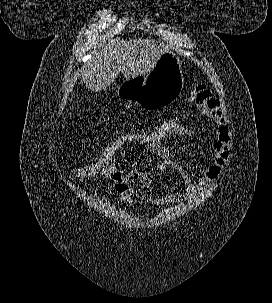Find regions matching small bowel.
Instances as JSON below:
<instances>
[{
    "mask_svg": "<svg viewBox=\"0 0 272 303\" xmlns=\"http://www.w3.org/2000/svg\"><path fill=\"white\" fill-rule=\"evenodd\" d=\"M190 101L197 107L199 112L212 124L213 139L211 141L212 153L209 165L200 171L196 181L182 166L173 162L169 148L164 144L143 146L141 149L155 154L159 161V170L174 169L180 175L184 191L177 193L168 192L163 196L149 195L147 201L153 205L163 206L172 203H185L208 186L214 184L222 171L225 162L229 158L230 130L226 124L224 111L217 99H214L209 90L199 85L194 88L190 95ZM195 132L190 127H185L176 133V137L191 138ZM147 174L140 170L121 172L115 169L113 172L102 177L112 181L115 191L122 197L134 192L141 184L143 176Z\"/></svg>",
    "mask_w": 272,
    "mask_h": 303,
    "instance_id": "1",
    "label": "small bowel"
}]
</instances>
